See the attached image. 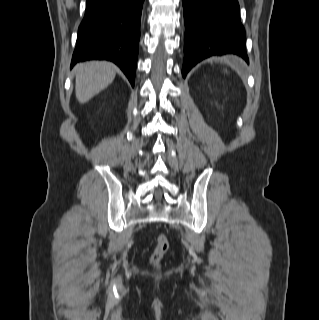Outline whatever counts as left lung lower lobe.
Listing matches in <instances>:
<instances>
[{"label":"left lung lower lobe","instance_id":"1","mask_svg":"<svg viewBox=\"0 0 319 320\" xmlns=\"http://www.w3.org/2000/svg\"><path fill=\"white\" fill-rule=\"evenodd\" d=\"M185 37L183 77L201 60L236 54L248 62L238 0H182Z\"/></svg>","mask_w":319,"mask_h":320}]
</instances>
